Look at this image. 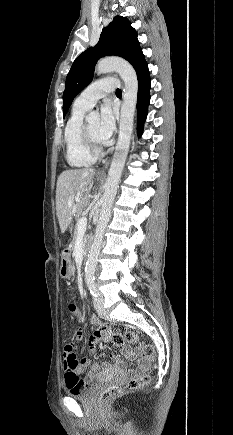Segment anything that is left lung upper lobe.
I'll return each instance as SVG.
<instances>
[{
    "label": "left lung upper lobe",
    "mask_w": 233,
    "mask_h": 435,
    "mask_svg": "<svg viewBox=\"0 0 233 435\" xmlns=\"http://www.w3.org/2000/svg\"><path fill=\"white\" fill-rule=\"evenodd\" d=\"M111 55L129 61L136 72L147 65L136 30L131 27L130 21L122 16L114 17L112 22L102 30L99 42L81 53L73 62L63 92V117L76 95L92 81L98 59Z\"/></svg>",
    "instance_id": "1"
}]
</instances>
